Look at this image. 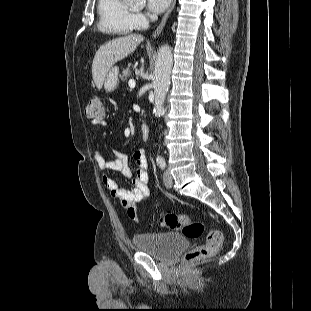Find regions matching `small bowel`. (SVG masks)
<instances>
[{"label":"small bowel","instance_id":"obj_1","mask_svg":"<svg viewBox=\"0 0 311 311\" xmlns=\"http://www.w3.org/2000/svg\"><path fill=\"white\" fill-rule=\"evenodd\" d=\"M106 125L104 120L92 121L91 133L94 134L97 130ZM95 162L98 168L102 171L119 172L126 178L132 179L133 186L131 189L122 188L109 175H103L102 182L109 190L111 195L121 201V205L126 209L128 218L134 223H139L136 205L147 200L150 196L148 185V164L144 149H137L132 159L136 165V170L133 172L129 165V157L127 154L115 151L114 158L107 159L100 150H96L94 155Z\"/></svg>","mask_w":311,"mask_h":311}]
</instances>
